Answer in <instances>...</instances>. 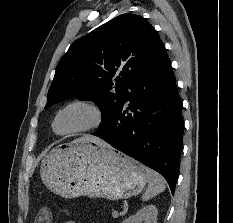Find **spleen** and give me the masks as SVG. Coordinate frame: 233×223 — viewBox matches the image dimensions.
I'll return each instance as SVG.
<instances>
[{"label":"spleen","instance_id":"3e777b00","mask_svg":"<svg viewBox=\"0 0 233 223\" xmlns=\"http://www.w3.org/2000/svg\"><path fill=\"white\" fill-rule=\"evenodd\" d=\"M147 179H148V187L142 195L143 201H147V199H150V197H155L157 193H161V191H164L166 187L162 175H159V173H157V171H154V169H148V167H147Z\"/></svg>","mask_w":233,"mask_h":223}]
</instances>
